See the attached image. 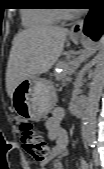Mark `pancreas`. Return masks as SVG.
<instances>
[{
	"instance_id": "1",
	"label": "pancreas",
	"mask_w": 104,
	"mask_h": 169,
	"mask_svg": "<svg viewBox=\"0 0 104 169\" xmlns=\"http://www.w3.org/2000/svg\"><path fill=\"white\" fill-rule=\"evenodd\" d=\"M63 68H64V71L60 74H56V78L58 80H64L66 79L71 73L74 72V65L71 63V62H66L64 65H63Z\"/></svg>"
}]
</instances>
